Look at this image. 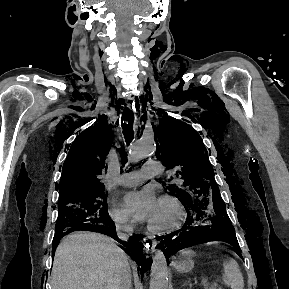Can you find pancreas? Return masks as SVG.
<instances>
[{"mask_svg":"<svg viewBox=\"0 0 289 289\" xmlns=\"http://www.w3.org/2000/svg\"><path fill=\"white\" fill-rule=\"evenodd\" d=\"M207 289H222L218 284L212 283L207 286Z\"/></svg>","mask_w":289,"mask_h":289,"instance_id":"cf45deb5","label":"pancreas"}]
</instances>
